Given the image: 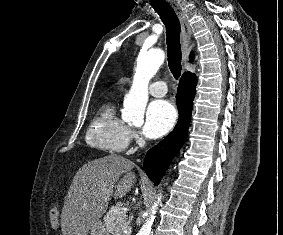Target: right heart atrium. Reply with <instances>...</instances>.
Segmentation results:
<instances>
[{
    "instance_id": "1",
    "label": "right heart atrium",
    "mask_w": 283,
    "mask_h": 235,
    "mask_svg": "<svg viewBox=\"0 0 283 235\" xmlns=\"http://www.w3.org/2000/svg\"><path fill=\"white\" fill-rule=\"evenodd\" d=\"M129 139L131 140H137L138 139V133L136 130L129 128Z\"/></svg>"
}]
</instances>
